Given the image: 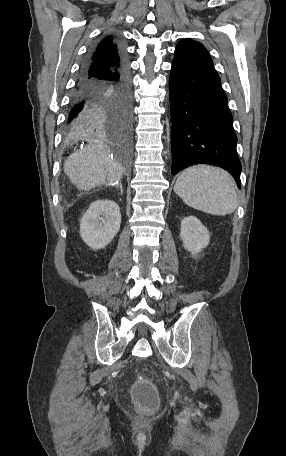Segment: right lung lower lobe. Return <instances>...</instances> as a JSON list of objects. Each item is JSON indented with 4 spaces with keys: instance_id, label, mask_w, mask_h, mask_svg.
<instances>
[{
    "instance_id": "98d812e1",
    "label": "right lung lower lobe",
    "mask_w": 286,
    "mask_h": 456,
    "mask_svg": "<svg viewBox=\"0 0 286 456\" xmlns=\"http://www.w3.org/2000/svg\"><path fill=\"white\" fill-rule=\"evenodd\" d=\"M90 56L83 64L65 122V134L106 130L128 139L132 124V98L127 68L92 74ZM124 126L123 133L119 128Z\"/></svg>"
}]
</instances>
